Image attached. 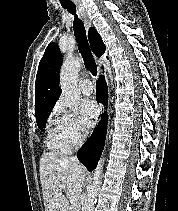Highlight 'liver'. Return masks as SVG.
I'll return each instance as SVG.
<instances>
[{"instance_id":"liver-1","label":"liver","mask_w":178,"mask_h":211,"mask_svg":"<svg viewBox=\"0 0 178 211\" xmlns=\"http://www.w3.org/2000/svg\"><path fill=\"white\" fill-rule=\"evenodd\" d=\"M39 164L45 211H68L66 196L80 192L86 178V169L77 160L54 152L44 153ZM60 184L66 186V196L59 189Z\"/></svg>"}]
</instances>
